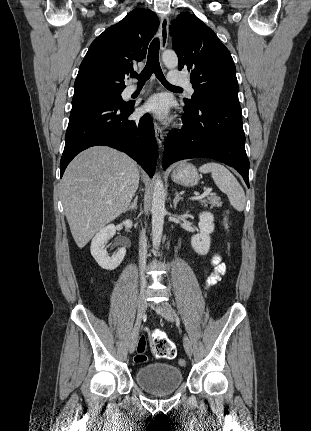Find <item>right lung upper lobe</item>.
I'll return each mask as SVG.
<instances>
[{"label": "right lung upper lobe", "instance_id": "obj_1", "mask_svg": "<svg viewBox=\"0 0 311 431\" xmlns=\"http://www.w3.org/2000/svg\"><path fill=\"white\" fill-rule=\"evenodd\" d=\"M159 26L154 12L131 11L119 23L107 28L89 47L74 83V95L91 92H122L125 75L133 62L146 57L151 38Z\"/></svg>", "mask_w": 311, "mask_h": 431}]
</instances>
